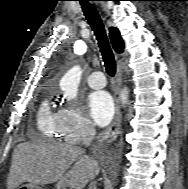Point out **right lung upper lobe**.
<instances>
[{"label": "right lung upper lobe", "mask_w": 188, "mask_h": 189, "mask_svg": "<svg viewBox=\"0 0 188 189\" xmlns=\"http://www.w3.org/2000/svg\"><path fill=\"white\" fill-rule=\"evenodd\" d=\"M109 35H110V40H111L114 50L118 53L123 52L124 43L118 29L115 27H111Z\"/></svg>", "instance_id": "obj_1"}]
</instances>
